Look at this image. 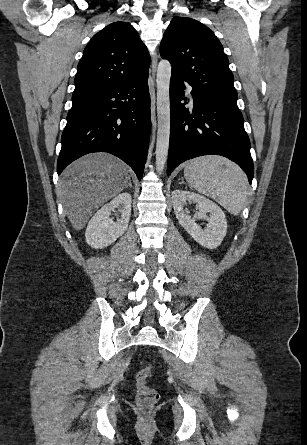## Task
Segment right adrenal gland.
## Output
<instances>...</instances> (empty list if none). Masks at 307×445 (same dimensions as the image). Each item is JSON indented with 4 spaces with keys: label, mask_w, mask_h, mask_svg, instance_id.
I'll use <instances>...</instances> for the list:
<instances>
[{
    "label": "right adrenal gland",
    "mask_w": 307,
    "mask_h": 445,
    "mask_svg": "<svg viewBox=\"0 0 307 445\" xmlns=\"http://www.w3.org/2000/svg\"><path fill=\"white\" fill-rule=\"evenodd\" d=\"M128 186H132V184H131V176H130V180H129ZM126 188H127V186H126Z\"/></svg>",
    "instance_id": "2a0ac1e0"
}]
</instances>
